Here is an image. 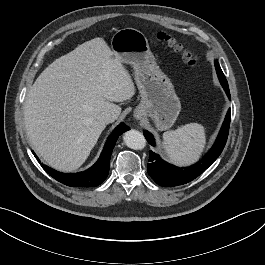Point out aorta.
Here are the masks:
<instances>
[{
  "label": "aorta",
  "mask_w": 265,
  "mask_h": 265,
  "mask_svg": "<svg viewBox=\"0 0 265 265\" xmlns=\"http://www.w3.org/2000/svg\"><path fill=\"white\" fill-rule=\"evenodd\" d=\"M124 143L132 149H142L146 145L145 137L137 130H129L124 133Z\"/></svg>",
  "instance_id": "obj_1"
}]
</instances>
